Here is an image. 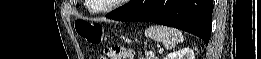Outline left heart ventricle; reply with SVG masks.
Wrapping results in <instances>:
<instances>
[{"mask_svg": "<svg viewBox=\"0 0 261 59\" xmlns=\"http://www.w3.org/2000/svg\"><path fill=\"white\" fill-rule=\"evenodd\" d=\"M115 0H92L90 3L93 8H105L111 5Z\"/></svg>", "mask_w": 261, "mask_h": 59, "instance_id": "1", "label": "left heart ventricle"}]
</instances>
